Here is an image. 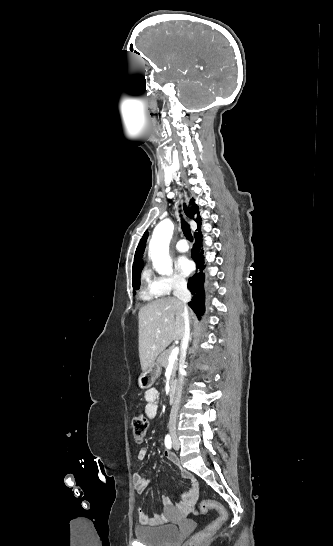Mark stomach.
<instances>
[{"instance_id": "obj_1", "label": "stomach", "mask_w": 333, "mask_h": 546, "mask_svg": "<svg viewBox=\"0 0 333 546\" xmlns=\"http://www.w3.org/2000/svg\"><path fill=\"white\" fill-rule=\"evenodd\" d=\"M161 374V365L158 363V361H155L151 366L144 371L139 379L138 383L141 388H149L151 387L155 380L160 376Z\"/></svg>"}]
</instances>
